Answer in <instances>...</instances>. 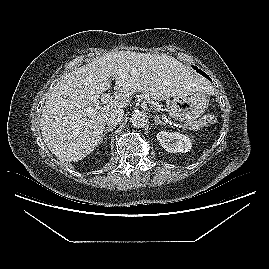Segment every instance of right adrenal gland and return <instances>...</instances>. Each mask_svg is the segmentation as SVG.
<instances>
[{
	"label": "right adrenal gland",
	"mask_w": 269,
	"mask_h": 269,
	"mask_svg": "<svg viewBox=\"0 0 269 269\" xmlns=\"http://www.w3.org/2000/svg\"><path fill=\"white\" fill-rule=\"evenodd\" d=\"M113 130H114V127H108V128H106V129L104 130V133H103L102 138H104L105 135H106L108 132H113Z\"/></svg>",
	"instance_id": "obj_1"
}]
</instances>
